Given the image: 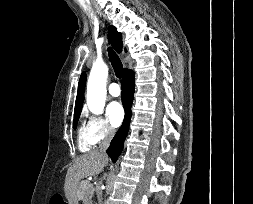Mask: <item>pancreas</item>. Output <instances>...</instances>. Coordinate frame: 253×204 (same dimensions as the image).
Returning <instances> with one entry per match:
<instances>
[{
    "label": "pancreas",
    "mask_w": 253,
    "mask_h": 204,
    "mask_svg": "<svg viewBox=\"0 0 253 204\" xmlns=\"http://www.w3.org/2000/svg\"><path fill=\"white\" fill-rule=\"evenodd\" d=\"M78 193L81 195L83 201H86L87 204H91L90 200L94 193L92 184L86 180L81 181L78 187Z\"/></svg>",
    "instance_id": "pancreas-1"
}]
</instances>
